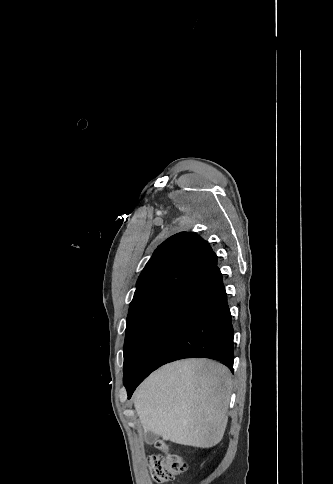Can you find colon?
Here are the masks:
<instances>
[{"label":"colon","instance_id":"obj_1","mask_svg":"<svg viewBox=\"0 0 333 484\" xmlns=\"http://www.w3.org/2000/svg\"><path fill=\"white\" fill-rule=\"evenodd\" d=\"M159 453L148 458V464L153 480L164 483L174 480L186 471L184 459L171 451L163 441L157 442Z\"/></svg>","mask_w":333,"mask_h":484}]
</instances>
